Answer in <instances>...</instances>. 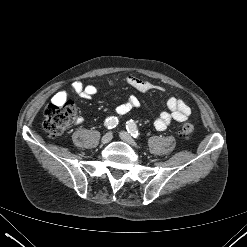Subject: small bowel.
<instances>
[{
    "instance_id": "1",
    "label": "small bowel",
    "mask_w": 247,
    "mask_h": 247,
    "mask_svg": "<svg viewBox=\"0 0 247 247\" xmlns=\"http://www.w3.org/2000/svg\"><path fill=\"white\" fill-rule=\"evenodd\" d=\"M126 83L141 92H147L151 90L160 92L164 91L162 86L136 76H128L126 78ZM72 89L79 97L83 99H91L98 92L96 86L92 84L84 85L81 81L73 82ZM66 99L67 93L65 91H59L53 96L52 102L63 103L66 101ZM139 106V99L136 96H130L125 102L119 104L116 107L115 112L118 116H123L129 113L131 110L138 108ZM167 108V111L161 112L154 120V127L157 130L166 129L172 121L184 122L191 114V108L189 105L176 97H171L168 99Z\"/></svg>"
}]
</instances>
